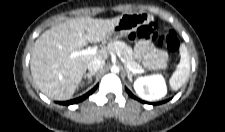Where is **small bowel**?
Segmentation results:
<instances>
[{"label":"small bowel","instance_id":"small-bowel-1","mask_svg":"<svg viewBox=\"0 0 225 132\" xmlns=\"http://www.w3.org/2000/svg\"><path fill=\"white\" fill-rule=\"evenodd\" d=\"M135 56L147 68H161L166 63V54L149 41H139L136 44Z\"/></svg>","mask_w":225,"mask_h":132}]
</instances>
